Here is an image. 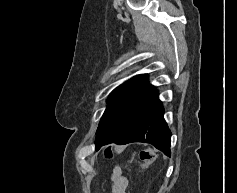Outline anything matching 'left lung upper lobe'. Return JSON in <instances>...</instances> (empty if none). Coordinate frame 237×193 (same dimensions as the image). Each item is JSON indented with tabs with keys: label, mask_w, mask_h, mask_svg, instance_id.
I'll return each mask as SVG.
<instances>
[{
	"label": "left lung upper lobe",
	"mask_w": 237,
	"mask_h": 193,
	"mask_svg": "<svg viewBox=\"0 0 237 193\" xmlns=\"http://www.w3.org/2000/svg\"><path fill=\"white\" fill-rule=\"evenodd\" d=\"M150 87L147 75L141 74L112 91L97 129L96 147L100 149L101 146L116 142L127 126L134 109Z\"/></svg>",
	"instance_id": "left-lung-upper-lobe-1"
}]
</instances>
